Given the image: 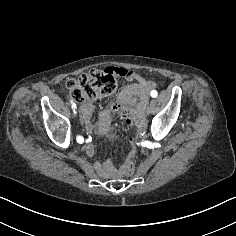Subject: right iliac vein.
<instances>
[{
	"label": "right iliac vein",
	"mask_w": 236,
	"mask_h": 236,
	"mask_svg": "<svg viewBox=\"0 0 236 236\" xmlns=\"http://www.w3.org/2000/svg\"><path fill=\"white\" fill-rule=\"evenodd\" d=\"M79 116H80V125L84 127V120H83V113L81 112L82 110L80 109L79 110ZM84 129V128H83Z\"/></svg>",
	"instance_id": "obj_1"
}]
</instances>
